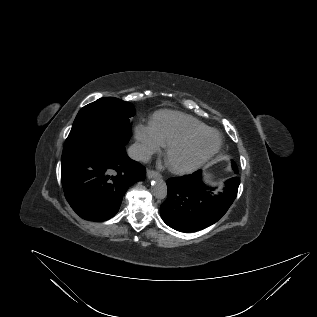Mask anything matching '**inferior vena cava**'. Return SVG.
Segmentation results:
<instances>
[{"mask_svg":"<svg viewBox=\"0 0 317 317\" xmlns=\"http://www.w3.org/2000/svg\"><path fill=\"white\" fill-rule=\"evenodd\" d=\"M128 155L133 160L142 162H148L151 158L150 152L139 143H134L129 147Z\"/></svg>","mask_w":317,"mask_h":317,"instance_id":"obj_1","label":"inferior vena cava"}]
</instances>
